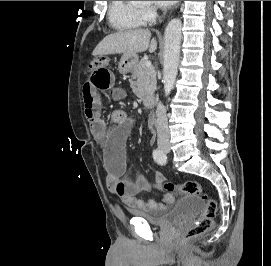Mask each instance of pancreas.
I'll return each instance as SVG.
<instances>
[{
	"label": "pancreas",
	"mask_w": 271,
	"mask_h": 266,
	"mask_svg": "<svg viewBox=\"0 0 271 266\" xmlns=\"http://www.w3.org/2000/svg\"><path fill=\"white\" fill-rule=\"evenodd\" d=\"M146 62V59H142L132 70L131 87L139 98L153 94L156 89L155 68H147Z\"/></svg>",
	"instance_id": "obj_1"
}]
</instances>
